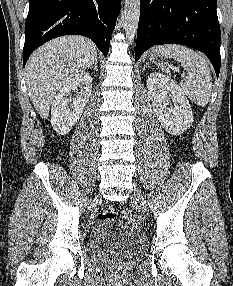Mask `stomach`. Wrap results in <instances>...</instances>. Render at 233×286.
<instances>
[{
  "instance_id": "1",
  "label": "stomach",
  "mask_w": 233,
  "mask_h": 286,
  "mask_svg": "<svg viewBox=\"0 0 233 286\" xmlns=\"http://www.w3.org/2000/svg\"><path fill=\"white\" fill-rule=\"evenodd\" d=\"M159 57H161V55H157L156 49H154L149 56L151 61L157 60Z\"/></svg>"
}]
</instances>
